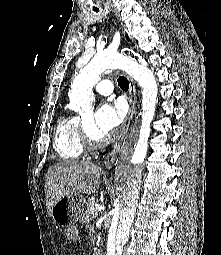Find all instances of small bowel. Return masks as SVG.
Here are the masks:
<instances>
[{
  "instance_id": "c3829d8e",
  "label": "small bowel",
  "mask_w": 221,
  "mask_h": 255,
  "mask_svg": "<svg viewBox=\"0 0 221 255\" xmlns=\"http://www.w3.org/2000/svg\"><path fill=\"white\" fill-rule=\"evenodd\" d=\"M78 230L75 227L69 228L67 231V238L69 241L74 242L78 239Z\"/></svg>"
}]
</instances>
